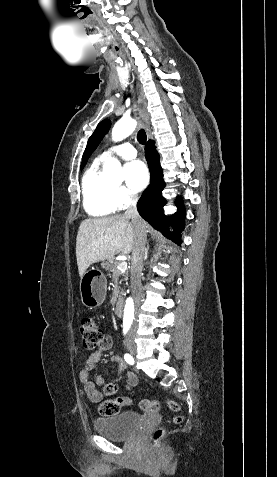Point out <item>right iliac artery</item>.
Returning a JSON list of instances; mask_svg holds the SVG:
<instances>
[{
  "mask_svg": "<svg viewBox=\"0 0 277 477\" xmlns=\"http://www.w3.org/2000/svg\"><path fill=\"white\" fill-rule=\"evenodd\" d=\"M124 359H125V361H126L127 363H129V364H134V359H133V357H132L131 355L125 354V355H124Z\"/></svg>",
  "mask_w": 277,
  "mask_h": 477,
  "instance_id": "right-iliac-artery-1",
  "label": "right iliac artery"
}]
</instances>
